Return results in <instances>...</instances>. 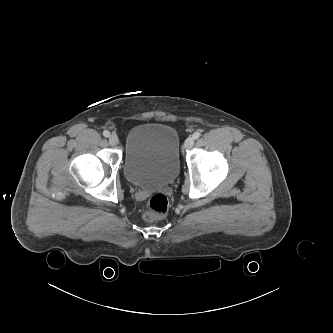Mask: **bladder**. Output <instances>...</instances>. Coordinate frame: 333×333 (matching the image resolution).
<instances>
[{
	"label": "bladder",
	"instance_id": "31cf9c89",
	"mask_svg": "<svg viewBox=\"0 0 333 333\" xmlns=\"http://www.w3.org/2000/svg\"><path fill=\"white\" fill-rule=\"evenodd\" d=\"M180 169V137L166 123L134 126L126 137L123 172L133 185L156 188L172 183Z\"/></svg>",
	"mask_w": 333,
	"mask_h": 333
}]
</instances>
